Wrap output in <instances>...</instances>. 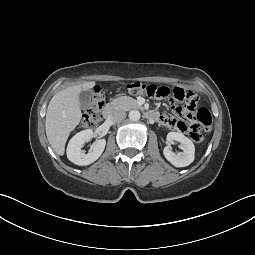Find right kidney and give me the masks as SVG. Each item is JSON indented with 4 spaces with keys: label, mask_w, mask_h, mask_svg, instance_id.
Segmentation results:
<instances>
[{
    "label": "right kidney",
    "mask_w": 255,
    "mask_h": 255,
    "mask_svg": "<svg viewBox=\"0 0 255 255\" xmlns=\"http://www.w3.org/2000/svg\"><path fill=\"white\" fill-rule=\"evenodd\" d=\"M93 137L91 129L83 130L71 138L67 146V157L74 164L86 166L95 162L103 153L106 145L105 139H100L93 145V150L89 153L82 151L85 142H89Z\"/></svg>",
    "instance_id": "obj_1"
}]
</instances>
